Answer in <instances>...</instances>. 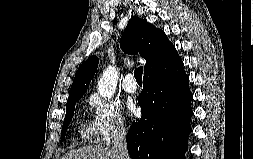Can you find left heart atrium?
<instances>
[{"label":"left heart atrium","instance_id":"obj_1","mask_svg":"<svg viewBox=\"0 0 253 159\" xmlns=\"http://www.w3.org/2000/svg\"><path fill=\"white\" fill-rule=\"evenodd\" d=\"M129 111H130L131 114H135V113H136V108H135V106L130 105V106H129Z\"/></svg>","mask_w":253,"mask_h":159}]
</instances>
